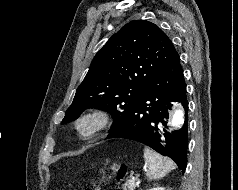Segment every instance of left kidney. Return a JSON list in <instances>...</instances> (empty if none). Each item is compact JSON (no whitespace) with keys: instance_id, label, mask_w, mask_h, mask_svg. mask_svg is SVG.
Instances as JSON below:
<instances>
[{"instance_id":"5707ae66","label":"left kidney","mask_w":238,"mask_h":190,"mask_svg":"<svg viewBox=\"0 0 238 190\" xmlns=\"http://www.w3.org/2000/svg\"><path fill=\"white\" fill-rule=\"evenodd\" d=\"M148 190H165V188H163V187H155V188L148 189Z\"/></svg>"}]
</instances>
